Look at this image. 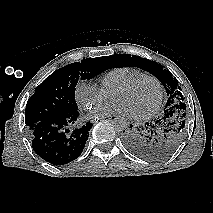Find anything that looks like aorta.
Masks as SVG:
<instances>
[{
  "mask_svg": "<svg viewBox=\"0 0 213 213\" xmlns=\"http://www.w3.org/2000/svg\"><path fill=\"white\" fill-rule=\"evenodd\" d=\"M112 126L116 132H123L128 128V122L123 117H116L113 119Z\"/></svg>",
  "mask_w": 213,
  "mask_h": 213,
  "instance_id": "aorta-1",
  "label": "aorta"
}]
</instances>
